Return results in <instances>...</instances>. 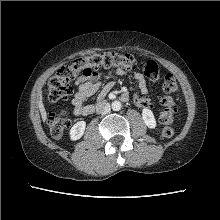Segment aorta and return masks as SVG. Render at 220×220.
Masks as SVG:
<instances>
[{
  "label": "aorta",
  "instance_id": "1",
  "mask_svg": "<svg viewBox=\"0 0 220 220\" xmlns=\"http://www.w3.org/2000/svg\"><path fill=\"white\" fill-rule=\"evenodd\" d=\"M111 106H112L113 111H119L122 107L121 102H119V101L112 102Z\"/></svg>",
  "mask_w": 220,
  "mask_h": 220
}]
</instances>
